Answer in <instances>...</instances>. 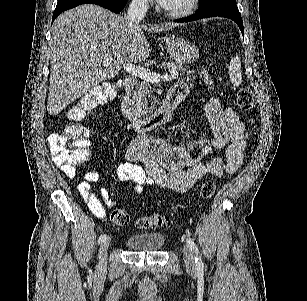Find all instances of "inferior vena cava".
<instances>
[{
    "instance_id": "602c4592",
    "label": "inferior vena cava",
    "mask_w": 307,
    "mask_h": 301,
    "mask_svg": "<svg viewBox=\"0 0 307 301\" xmlns=\"http://www.w3.org/2000/svg\"><path fill=\"white\" fill-rule=\"evenodd\" d=\"M148 8V0H132L128 6L127 18L131 26L139 24L143 20Z\"/></svg>"
}]
</instances>
